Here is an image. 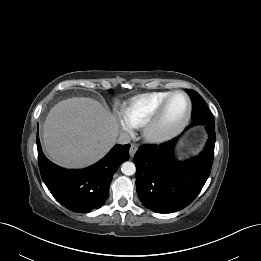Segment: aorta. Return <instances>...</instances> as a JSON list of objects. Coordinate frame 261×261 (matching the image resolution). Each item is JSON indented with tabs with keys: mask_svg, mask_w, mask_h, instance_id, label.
<instances>
[{
	"mask_svg": "<svg viewBox=\"0 0 261 261\" xmlns=\"http://www.w3.org/2000/svg\"><path fill=\"white\" fill-rule=\"evenodd\" d=\"M121 171L124 175L131 176L136 172V167L134 163L126 161L121 166Z\"/></svg>",
	"mask_w": 261,
	"mask_h": 261,
	"instance_id": "aorta-1",
	"label": "aorta"
}]
</instances>
